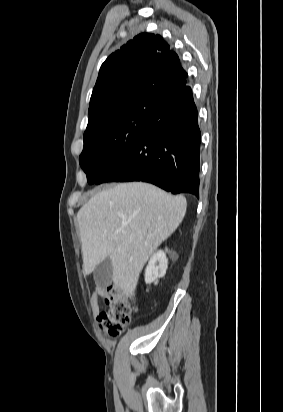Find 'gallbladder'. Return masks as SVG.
Returning a JSON list of instances; mask_svg holds the SVG:
<instances>
[{
	"instance_id": "bac80fb5",
	"label": "gallbladder",
	"mask_w": 283,
	"mask_h": 412,
	"mask_svg": "<svg viewBox=\"0 0 283 412\" xmlns=\"http://www.w3.org/2000/svg\"><path fill=\"white\" fill-rule=\"evenodd\" d=\"M113 276V267L109 257L98 264L93 272L94 281L97 286L104 288L110 284Z\"/></svg>"
}]
</instances>
